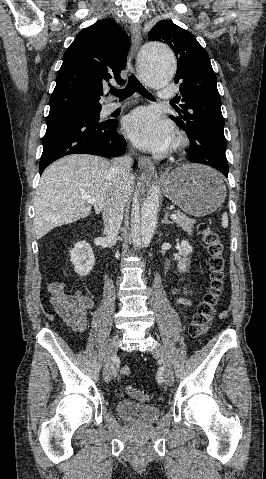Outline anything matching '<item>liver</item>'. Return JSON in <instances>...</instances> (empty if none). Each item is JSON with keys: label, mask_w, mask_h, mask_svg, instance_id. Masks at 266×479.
Masks as SVG:
<instances>
[{"label": "liver", "mask_w": 266, "mask_h": 479, "mask_svg": "<svg viewBox=\"0 0 266 479\" xmlns=\"http://www.w3.org/2000/svg\"><path fill=\"white\" fill-rule=\"evenodd\" d=\"M111 163L101 157L76 154L59 159L42 174L34 200V229L37 239L52 229L86 218L91 206L82 195L96 199L99 213L112 185ZM135 177L130 176L125 187V202L133 192Z\"/></svg>", "instance_id": "obj_1"}]
</instances>
